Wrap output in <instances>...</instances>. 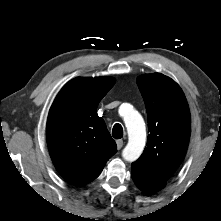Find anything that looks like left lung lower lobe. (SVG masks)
Instances as JSON below:
<instances>
[{"label": "left lung lower lobe", "instance_id": "0a47b994", "mask_svg": "<svg viewBox=\"0 0 221 221\" xmlns=\"http://www.w3.org/2000/svg\"><path fill=\"white\" fill-rule=\"evenodd\" d=\"M132 179L144 193L152 194L165 187L166 181L148 173L140 165L132 163Z\"/></svg>", "mask_w": 221, "mask_h": 221}]
</instances>
